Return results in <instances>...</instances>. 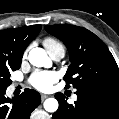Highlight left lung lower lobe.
<instances>
[{
  "instance_id": "1",
  "label": "left lung lower lobe",
  "mask_w": 119,
  "mask_h": 119,
  "mask_svg": "<svg viewBox=\"0 0 119 119\" xmlns=\"http://www.w3.org/2000/svg\"><path fill=\"white\" fill-rule=\"evenodd\" d=\"M76 94L74 105L62 93L55 94L59 108L52 119H119V90L81 89Z\"/></svg>"
}]
</instances>
